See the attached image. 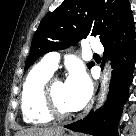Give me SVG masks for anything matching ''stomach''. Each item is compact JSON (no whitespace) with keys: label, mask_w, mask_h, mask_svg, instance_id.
I'll list each match as a JSON object with an SVG mask.
<instances>
[{"label":"stomach","mask_w":136,"mask_h":136,"mask_svg":"<svg viewBox=\"0 0 136 136\" xmlns=\"http://www.w3.org/2000/svg\"><path fill=\"white\" fill-rule=\"evenodd\" d=\"M63 133H64V132H61V133H59V134H57V135H55V136H69V135H63Z\"/></svg>","instance_id":"0dacf381"}]
</instances>
